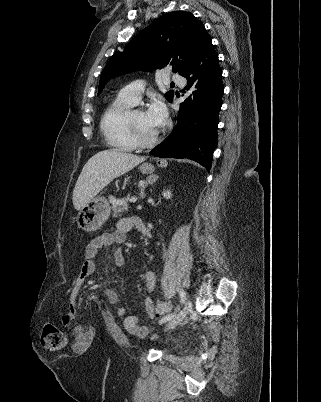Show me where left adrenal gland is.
I'll return each mask as SVG.
<instances>
[{
    "instance_id": "a2214340",
    "label": "left adrenal gland",
    "mask_w": 321,
    "mask_h": 402,
    "mask_svg": "<svg viewBox=\"0 0 321 402\" xmlns=\"http://www.w3.org/2000/svg\"><path fill=\"white\" fill-rule=\"evenodd\" d=\"M158 178H159V176L156 175V174H152V175H150V176H148V177L146 178L145 185L141 188V191H140V198H141V199H144V198H145L144 190H145V188L148 186V184H153L154 182H156V180H157Z\"/></svg>"
}]
</instances>
